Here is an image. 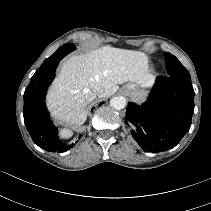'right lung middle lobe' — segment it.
Listing matches in <instances>:
<instances>
[{"label":"right lung middle lobe","instance_id":"obj_1","mask_svg":"<svg viewBox=\"0 0 211 211\" xmlns=\"http://www.w3.org/2000/svg\"><path fill=\"white\" fill-rule=\"evenodd\" d=\"M75 49V45L72 43H67L61 46L52 56L47 58L41 66L48 65L55 61H60L64 56Z\"/></svg>","mask_w":211,"mask_h":211}]
</instances>
